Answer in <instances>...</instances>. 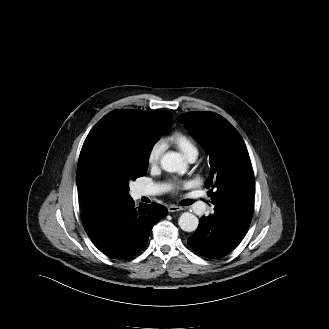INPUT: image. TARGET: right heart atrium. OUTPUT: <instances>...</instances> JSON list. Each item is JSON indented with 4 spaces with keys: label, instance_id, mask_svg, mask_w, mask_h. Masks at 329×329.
<instances>
[{
    "label": "right heart atrium",
    "instance_id": "obj_1",
    "mask_svg": "<svg viewBox=\"0 0 329 329\" xmlns=\"http://www.w3.org/2000/svg\"><path fill=\"white\" fill-rule=\"evenodd\" d=\"M165 149V144L162 140L154 142L149 148L147 154V162L149 165H155L159 162Z\"/></svg>",
    "mask_w": 329,
    "mask_h": 329
}]
</instances>
